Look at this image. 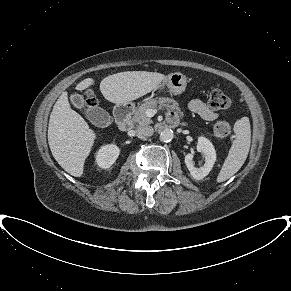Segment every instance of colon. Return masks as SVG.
<instances>
[{"mask_svg": "<svg viewBox=\"0 0 291 291\" xmlns=\"http://www.w3.org/2000/svg\"><path fill=\"white\" fill-rule=\"evenodd\" d=\"M90 106L95 105L96 101L92 94L87 97ZM208 104L213 110L225 109L230 105V99L224 92L214 89L210 92ZM231 132V125L227 120H219L214 125V133L218 137H226Z\"/></svg>", "mask_w": 291, "mask_h": 291, "instance_id": "1", "label": "colon"}]
</instances>
